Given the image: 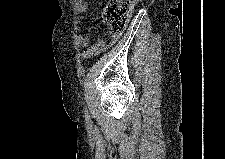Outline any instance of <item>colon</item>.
I'll return each instance as SVG.
<instances>
[{
    "label": "colon",
    "mask_w": 225,
    "mask_h": 159,
    "mask_svg": "<svg viewBox=\"0 0 225 159\" xmlns=\"http://www.w3.org/2000/svg\"><path fill=\"white\" fill-rule=\"evenodd\" d=\"M136 4V0H107L102 11L110 34L121 35Z\"/></svg>",
    "instance_id": "1"
}]
</instances>
